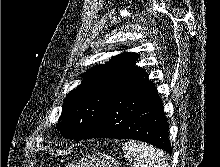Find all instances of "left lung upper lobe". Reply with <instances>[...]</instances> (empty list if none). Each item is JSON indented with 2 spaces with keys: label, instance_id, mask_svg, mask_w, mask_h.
Masks as SVG:
<instances>
[{
  "label": "left lung upper lobe",
  "instance_id": "obj_1",
  "mask_svg": "<svg viewBox=\"0 0 220 167\" xmlns=\"http://www.w3.org/2000/svg\"><path fill=\"white\" fill-rule=\"evenodd\" d=\"M137 54L122 53L96 65L82 77L81 85L64 100L56 128L63 137L79 141L96 125L114 98L129 84L145 76L135 66Z\"/></svg>",
  "mask_w": 220,
  "mask_h": 167
}]
</instances>
